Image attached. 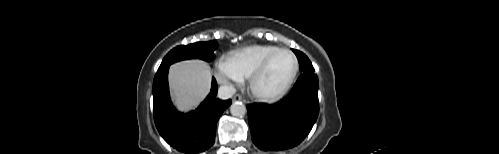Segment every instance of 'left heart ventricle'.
Segmentation results:
<instances>
[{
	"instance_id": "b2bd125f",
	"label": "left heart ventricle",
	"mask_w": 499,
	"mask_h": 154,
	"mask_svg": "<svg viewBox=\"0 0 499 154\" xmlns=\"http://www.w3.org/2000/svg\"><path fill=\"white\" fill-rule=\"evenodd\" d=\"M293 69V60L287 53L277 54L270 62L266 72L258 80L256 88L263 94L278 91L288 79Z\"/></svg>"
}]
</instances>
